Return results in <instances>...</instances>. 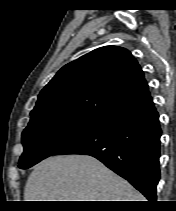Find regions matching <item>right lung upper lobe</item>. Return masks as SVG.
Listing matches in <instances>:
<instances>
[{"label":"right lung upper lobe","instance_id":"1","mask_svg":"<svg viewBox=\"0 0 176 211\" xmlns=\"http://www.w3.org/2000/svg\"><path fill=\"white\" fill-rule=\"evenodd\" d=\"M150 100L136 59L124 48L105 46L61 68L40 92L30 115L61 110L105 118Z\"/></svg>","mask_w":176,"mask_h":211}]
</instances>
